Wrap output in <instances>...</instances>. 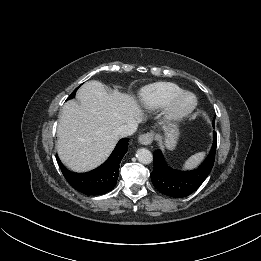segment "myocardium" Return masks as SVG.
<instances>
[{"instance_id": "obj_1", "label": "myocardium", "mask_w": 261, "mask_h": 261, "mask_svg": "<svg viewBox=\"0 0 261 261\" xmlns=\"http://www.w3.org/2000/svg\"><path fill=\"white\" fill-rule=\"evenodd\" d=\"M190 97L191 103L187 106H182L184 99ZM198 106L197 96L190 91H183L174 97L165 107L164 118L169 123L180 122L188 117Z\"/></svg>"}]
</instances>
